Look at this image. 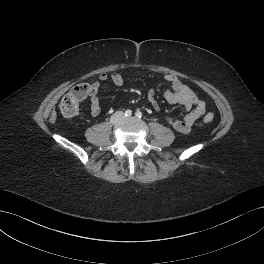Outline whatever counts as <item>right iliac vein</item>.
<instances>
[{"instance_id":"1","label":"right iliac vein","mask_w":264,"mask_h":264,"mask_svg":"<svg viewBox=\"0 0 264 264\" xmlns=\"http://www.w3.org/2000/svg\"><path fill=\"white\" fill-rule=\"evenodd\" d=\"M122 118V114L121 113H117L116 115H115V120H119V119H121Z\"/></svg>"}]
</instances>
